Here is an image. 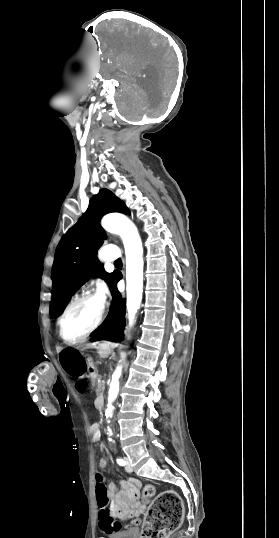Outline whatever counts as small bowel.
Segmentation results:
<instances>
[{
    "label": "small bowel",
    "instance_id": "c3829d8e",
    "mask_svg": "<svg viewBox=\"0 0 279 538\" xmlns=\"http://www.w3.org/2000/svg\"><path fill=\"white\" fill-rule=\"evenodd\" d=\"M76 389L83 392L87 387V380L79 377L75 383ZM93 439L99 440L100 432L97 424L91 427ZM108 464L107 458H102L99 462L101 468ZM121 485L119 489L115 483L108 485V494L112 500L114 514L111 517L100 516V528L105 533H111L120 529H135L139 523V516L144 511V504L140 497L141 482L138 479L130 478L128 480H117ZM124 520H129L123 524Z\"/></svg>",
    "mask_w": 279,
    "mask_h": 538
}]
</instances>
